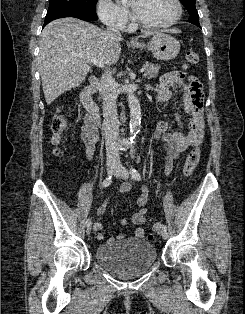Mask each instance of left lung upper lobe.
Returning <instances> with one entry per match:
<instances>
[{
  "label": "left lung upper lobe",
  "mask_w": 245,
  "mask_h": 314,
  "mask_svg": "<svg viewBox=\"0 0 245 314\" xmlns=\"http://www.w3.org/2000/svg\"><path fill=\"white\" fill-rule=\"evenodd\" d=\"M195 1L196 0H180V2L185 6L191 16L189 22L200 27L199 15L195 7Z\"/></svg>",
  "instance_id": "obj_1"
}]
</instances>
